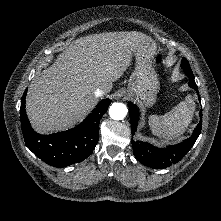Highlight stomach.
Instances as JSON below:
<instances>
[{
	"mask_svg": "<svg viewBox=\"0 0 221 221\" xmlns=\"http://www.w3.org/2000/svg\"><path fill=\"white\" fill-rule=\"evenodd\" d=\"M156 43L149 38L143 41L135 51L136 67L133 71L128 87L124 93L131 98L140 99L145 106H152L159 91V81L153 67Z\"/></svg>",
	"mask_w": 221,
	"mask_h": 221,
	"instance_id": "1",
	"label": "stomach"
}]
</instances>
